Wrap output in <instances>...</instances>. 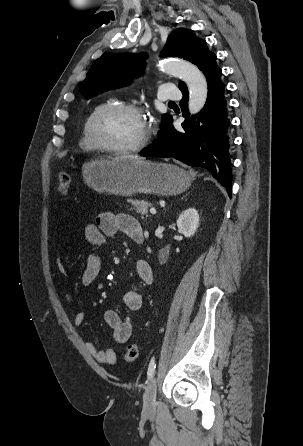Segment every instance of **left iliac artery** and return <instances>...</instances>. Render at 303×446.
<instances>
[{
    "label": "left iliac artery",
    "mask_w": 303,
    "mask_h": 446,
    "mask_svg": "<svg viewBox=\"0 0 303 446\" xmlns=\"http://www.w3.org/2000/svg\"><path fill=\"white\" fill-rule=\"evenodd\" d=\"M155 368H156L155 357H152L147 371L148 379H151L153 377L155 373Z\"/></svg>",
    "instance_id": "left-iliac-artery-1"
}]
</instances>
